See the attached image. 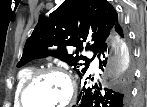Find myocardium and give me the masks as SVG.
<instances>
[{
	"label": "myocardium",
	"mask_w": 147,
	"mask_h": 107,
	"mask_svg": "<svg viewBox=\"0 0 147 107\" xmlns=\"http://www.w3.org/2000/svg\"><path fill=\"white\" fill-rule=\"evenodd\" d=\"M48 74L60 75L69 84L70 92H69L68 99L62 105L57 106V107H68L75 101L76 96H77V86H76L75 80L62 68L47 67V68L39 69L33 72L32 75L29 77V79L24 84L20 92V96H19V103L21 104L22 107H30L28 106L27 100H26L28 90L40 77L44 75H48Z\"/></svg>",
	"instance_id": "myocardium-1"
}]
</instances>
